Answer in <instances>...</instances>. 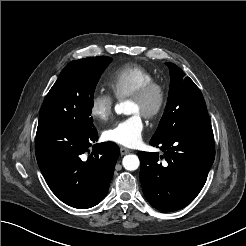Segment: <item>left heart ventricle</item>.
Listing matches in <instances>:
<instances>
[{"instance_id": "obj_1", "label": "left heart ventricle", "mask_w": 246, "mask_h": 246, "mask_svg": "<svg viewBox=\"0 0 246 246\" xmlns=\"http://www.w3.org/2000/svg\"><path fill=\"white\" fill-rule=\"evenodd\" d=\"M142 106L134 100H130L128 104V112L129 113H141Z\"/></svg>"}]
</instances>
